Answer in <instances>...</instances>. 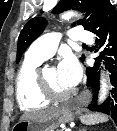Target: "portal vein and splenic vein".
<instances>
[{
    "label": "portal vein and splenic vein",
    "mask_w": 117,
    "mask_h": 131,
    "mask_svg": "<svg viewBox=\"0 0 117 131\" xmlns=\"http://www.w3.org/2000/svg\"><path fill=\"white\" fill-rule=\"evenodd\" d=\"M65 131H70V129H65Z\"/></svg>",
    "instance_id": "18ae733b"
}]
</instances>
